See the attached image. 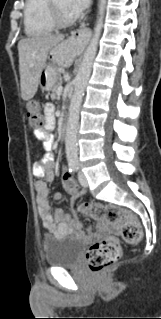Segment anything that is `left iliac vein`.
<instances>
[{
  "label": "left iliac vein",
  "mask_w": 161,
  "mask_h": 319,
  "mask_svg": "<svg viewBox=\"0 0 161 319\" xmlns=\"http://www.w3.org/2000/svg\"><path fill=\"white\" fill-rule=\"evenodd\" d=\"M78 180L79 183L83 186V187H87L88 186V181L86 176L84 175V173L80 172L78 175Z\"/></svg>",
  "instance_id": "obj_1"
}]
</instances>
